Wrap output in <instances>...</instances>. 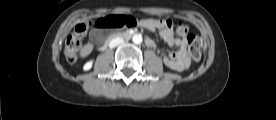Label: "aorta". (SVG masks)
Masks as SVG:
<instances>
[{"instance_id":"762f6f07","label":"aorta","mask_w":276,"mask_h":120,"mask_svg":"<svg viewBox=\"0 0 276 120\" xmlns=\"http://www.w3.org/2000/svg\"><path fill=\"white\" fill-rule=\"evenodd\" d=\"M142 35L141 34H135L132 38L133 43L135 44H141L142 43Z\"/></svg>"}]
</instances>
